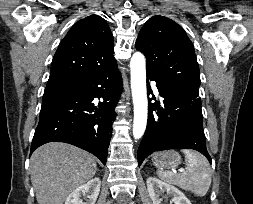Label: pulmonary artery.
<instances>
[{
	"label": "pulmonary artery",
	"mask_w": 253,
	"mask_h": 204,
	"mask_svg": "<svg viewBox=\"0 0 253 204\" xmlns=\"http://www.w3.org/2000/svg\"><path fill=\"white\" fill-rule=\"evenodd\" d=\"M153 89H154L155 94L158 95V90H157L156 86L154 85V83H153Z\"/></svg>",
	"instance_id": "1"
}]
</instances>
